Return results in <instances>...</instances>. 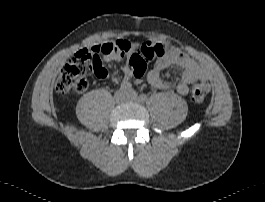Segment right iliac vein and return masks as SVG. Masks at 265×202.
Listing matches in <instances>:
<instances>
[{
	"instance_id": "63e3f726",
	"label": "right iliac vein",
	"mask_w": 265,
	"mask_h": 202,
	"mask_svg": "<svg viewBox=\"0 0 265 202\" xmlns=\"http://www.w3.org/2000/svg\"><path fill=\"white\" fill-rule=\"evenodd\" d=\"M115 100L118 102V103H123V102H126L127 101V95L125 94L124 91H117L115 93V96H114Z\"/></svg>"
}]
</instances>
